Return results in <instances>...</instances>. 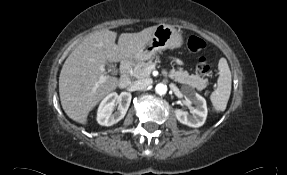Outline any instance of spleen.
I'll return each mask as SVG.
<instances>
[{
	"instance_id": "3e777b00",
	"label": "spleen",
	"mask_w": 287,
	"mask_h": 175,
	"mask_svg": "<svg viewBox=\"0 0 287 175\" xmlns=\"http://www.w3.org/2000/svg\"><path fill=\"white\" fill-rule=\"evenodd\" d=\"M218 70L217 88L210 95V100L216 111H224L231 94L232 82L231 71L225 58L219 60Z\"/></svg>"
}]
</instances>
